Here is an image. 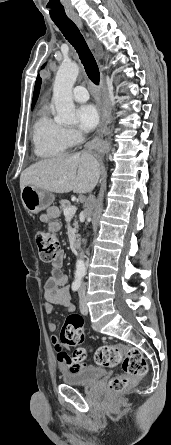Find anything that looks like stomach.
Here are the masks:
<instances>
[{
  "instance_id": "obj_1",
  "label": "stomach",
  "mask_w": 171,
  "mask_h": 445,
  "mask_svg": "<svg viewBox=\"0 0 171 445\" xmlns=\"http://www.w3.org/2000/svg\"><path fill=\"white\" fill-rule=\"evenodd\" d=\"M21 200L29 213L37 214L51 206L54 196L41 188L27 185L21 190Z\"/></svg>"
}]
</instances>
